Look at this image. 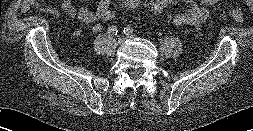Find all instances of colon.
Segmentation results:
<instances>
[{"mask_svg": "<svg viewBox=\"0 0 253 131\" xmlns=\"http://www.w3.org/2000/svg\"><path fill=\"white\" fill-rule=\"evenodd\" d=\"M148 8L153 12H161L170 8H173L177 5L176 0H150L148 2ZM222 14L225 17H228L235 23H243L245 19L244 12L240 9L235 8H229L222 11ZM116 15L114 11H112L110 8L105 10L101 14V21H103L106 24L113 23L115 21Z\"/></svg>", "mask_w": 253, "mask_h": 131, "instance_id": "5ec220e1", "label": "colon"}]
</instances>
